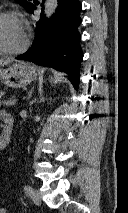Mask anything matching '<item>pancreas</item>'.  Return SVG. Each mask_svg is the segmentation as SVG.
Returning a JSON list of instances; mask_svg holds the SVG:
<instances>
[{
    "label": "pancreas",
    "instance_id": "obj_1",
    "mask_svg": "<svg viewBox=\"0 0 128 213\" xmlns=\"http://www.w3.org/2000/svg\"><path fill=\"white\" fill-rule=\"evenodd\" d=\"M5 95V92H3V91H0V106L1 105H3V104H10V102H8V103H5V101L4 100H2V97Z\"/></svg>",
    "mask_w": 128,
    "mask_h": 213
}]
</instances>
